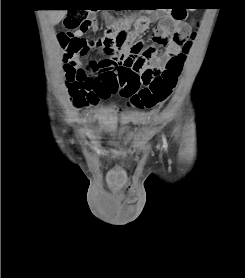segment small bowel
Instances as JSON below:
<instances>
[{"instance_id": "small-bowel-1", "label": "small bowel", "mask_w": 245, "mask_h": 278, "mask_svg": "<svg viewBox=\"0 0 245 278\" xmlns=\"http://www.w3.org/2000/svg\"><path fill=\"white\" fill-rule=\"evenodd\" d=\"M90 18L94 19V15L91 14ZM152 18L158 19L160 25L159 29L154 34V39L158 45L166 47L167 51L165 57L168 58L177 51V49L171 45V34L176 31L180 33V35L186 37L192 31L194 24L192 22L187 23L185 20H175L171 12L162 7L155 10ZM104 19L107 24H111L113 21V17L109 13H104ZM149 22V19H138L136 22V33H143L147 29ZM92 30L96 31L97 26H93ZM84 34V31L78 30L74 32L73 36L84 38ZM88 43L90 48L101 49L104 53V59L94 61L90 67L91 76L97 85L96 92L105 93L98 97L97 102L113 96L108 91L111 85V78L121 77L128 72L140 74L147 67L158 70H163L165 67L164 59L156 58L154 54L141 56L133 52L131 53L126 45L120 46L116 44L113 36L109 34L99 39H90ZM149 49H153V47L145 48V50ZM76 65L79 69L86 71L83 64L79 63V61H76ZM149 120V113L137 114L126 119L127 122H138L142 124L148 123ZM112 123L113 119L110 116L101 115L96 120L97 127L93 132H100L109 127Z\"/></svg>"}]
</instances>
